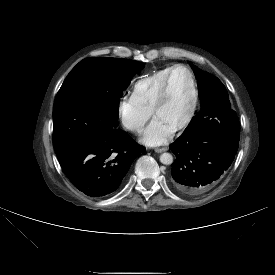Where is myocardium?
<instances>
[{"label": "myocardium", "mask_w": 275, "mask_h": 275, "mask_svg": "<svg viewBox=\"0 0 275 275\" xmlns=\"http://www.w3.org/2000/svg\"><path fill=\"white\" fill-rule=\"evenodd\" d=\"M177 69H183L189 75L191 88H192V102H191V107H190L189 113L186 116V118L180 124H178L176 127L173 128L175 132L185 129L192 122V120L195 116V113H196L197 105H198V89H197L196 80H195V77H194L192 71L187 66L182 65V64H177L171 68L167 77L165 78V81L162 85V88L158 94L157 100H156L155 105L152 110L153 115H156L157 112L160 110V108L165 103L167 96H168V92H169V85H170L171 77Z\"/></svg>", "instance_id": "obj_1"}]
</instances>
